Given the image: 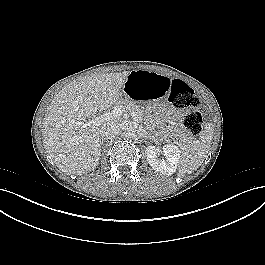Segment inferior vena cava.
Instances as JSON below:
<instances>
[{
  "mask_svg": "<svg viewBox=\"0 0 265 265\" xmlns=\"http://www.w3.org/2000/svg\"><path fill=\"white\" fill-rule=\"evenodd\" d=\"M119 132L118 126L114 123L103 124L100 128V136L110 138Z\"/></svg>",
  "mask_w": 265,
  "mask_h": 265,
  "instance_id": "inferior-vena-cava-1",
  "label": "inferior vena cava"
}]
</instances>
